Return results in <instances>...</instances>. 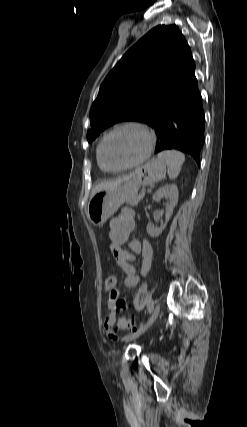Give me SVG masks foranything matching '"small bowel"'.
Returning <instances> with one entry per match:
<instances>
[{
  "label": "small bowel",
  "mask_w": 247,
  "mask_h": 427,
  "mask_svg": "<svg viewBox=\"0 0 247 427\" xmlns=\"http://www.w3.org/2000/svg\"><path fill=\"white\" fill-rule=\"evenodd\" d=\"M135 229L134 213L130 209H123L120 215L110 222V249L117 264L126 273L124 284L128 288H134L138 285L140 277L146 275L152 265L153 249L147 240L130 239L131 233ZM128 244L131 252L120 248L122 244ZM134 254L142 257V267L140 273H137L131 264L135 260ZM107 306L110 311L105 320V329L110 338L115 339L116 335L112 331L116 320V313L127 308L126 301L120 299L117 290L112 291L107 299Z\"/></svg>",
  "instance_id": "obj_1"
}]
</instances>
